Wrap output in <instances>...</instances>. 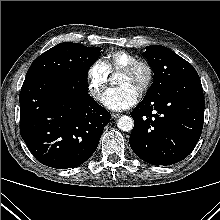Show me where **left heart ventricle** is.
<instances>
[{
    "instance_id": "1",
    "label": "left heart ventricle",
    "mask_w": 220,
    "mask_h": 220,
    "mask_svg": "<svg viewBox=\"0 0 220 220\" xmlns=\"http://www.w3.org/2000/svg\"><path fill=\"white\" fill-rule=\"evenodd\" d=\"M145 78H146V72L144 69H139L137 72L133 74L122 72L118 79V84L119 85H130L136 91H138L140 86L143 84Z\"/></svg>"
}]
</instances>
